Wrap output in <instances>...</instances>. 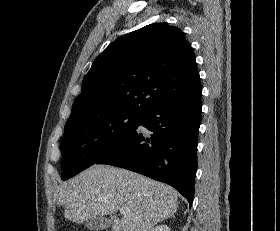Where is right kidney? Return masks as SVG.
Returning <instances> with one entry per match:
<instances>
[{"instance_id":"obj_1","label":"right kidney","mask_w":280,"mask_h":231,"mask_svg":"<svg viewBox=\"0 0 280 231\" xmlns=\"http://www.w3.org/2000/svg\"><path fill=\"white\" fill-rule=\"evenodd\" d=\"M151 231H170V227H168V225H164V223H162V225H156V227H153V229H151Z\"/></svg>"}]
</instances>
